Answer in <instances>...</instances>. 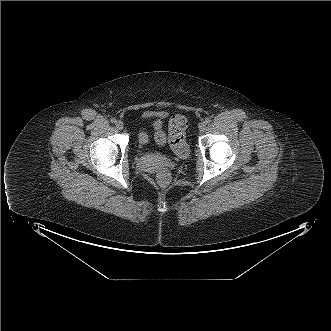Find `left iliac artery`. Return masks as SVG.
<instances>
[{"instance_id":"44dca946","label":"left iliac artery","mask_w":331,"mask_h":331,"mask_svg":"<svg viewBox=\"0 0 331 331\" xmlns=\"http://www.w3.org/2000/svg\"><path fill=\"white\" fill-rule=\"evenodd\" d=\"M210 122H211V119H210V118H206V119H205V123H206V124H209Z\"/></svg>"}]
</instances>
